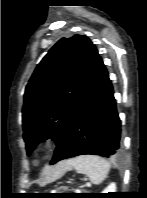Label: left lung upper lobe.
<instances>
[{
    "instance_id": "5c2ea615",
    "label": "left lung upper lobe",
    "mask_w": 147,
    "mask_h": 198,
    "mask_svg": "<svg viewBox=\"0 0 147 198\" xmlns=\"http://www.w3.org/2000/svg\"><path fill=\"white\" fill-rule=\"evenodd\" d=\"M99 54L86 36L60 39L36 67L24 94L23 138L28 154L39 141L58 144L87 93Z\"/></svg>"
}]
</instances>
